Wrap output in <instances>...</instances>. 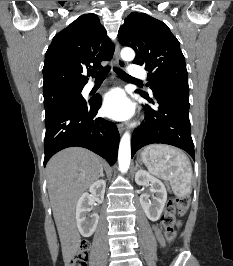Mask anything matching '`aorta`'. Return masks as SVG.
Listing matches in <instances>:
<instances>
[{"instance_id": "aorta-1", "label": "aorta", "mask_w": 233, "mask_h": 266, "mask_svg": "<svg viewBox=\"0 0 233 266\" xmlns=\"http://www.w3.org/2000/svg\"><path fill=\"white\" fill-rule=\"evenodd\" d=\"M121 57L125 61H132L135 58V52L131 48H123L121 51ZM131 161V136L129 132H126L120 141L118 151V164L119 170L122 173L128 171Z\"/></svg>"}]
</instances>
